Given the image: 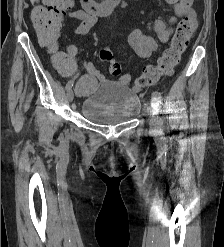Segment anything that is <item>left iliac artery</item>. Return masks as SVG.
<instances>
[{
  "label": "left iliac artery",
  "mask_w": 224,
  "mask_h": 247,
  "mask_svg": "<svg viewBox=\"0 0 224 247\" xmlns=\"http://www.w3.org/2000/svg\"><path fill=\"white\" fill-rule=\"evenodd\" d=\"M153 96L158 101L159 104H161V105L163 104V98L158 91H154ZM162 125H163V120L161 119L160 120V126H162ZM160 130L162 131L163 129L161 128Z\"/></svg>",
  "instance_id": "44dca946"
}]
</instances>
